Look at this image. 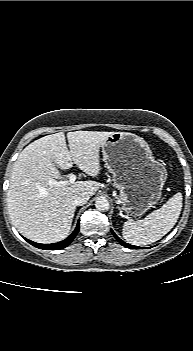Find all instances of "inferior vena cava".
<instances>
[{"mask_svg":"<svg viewBox=\"0 0 193 351\" xmlns=\"http://www.w3.org/2000/svg\"><path fill=\"white\" fill-rule=\"evenodd\" d=\"M90 195L88 192H80L76 197H75V204L76 205H84L87 203V201L89 200Z\"/></svg>","mask_w":193,"mask_h":351,"instance_id":"obj_1","label":"inferior vena cava"}]
</instances>
